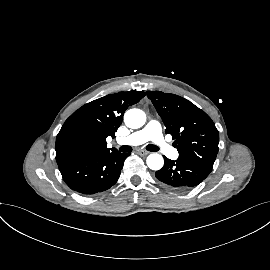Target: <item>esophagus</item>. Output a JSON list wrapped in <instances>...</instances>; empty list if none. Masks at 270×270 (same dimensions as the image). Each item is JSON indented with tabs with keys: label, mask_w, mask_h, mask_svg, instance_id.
<instances>
[{
	"label": "esophagus",
	"mask_w": 270,
	"mask_h": 270,
	"mask_svg": "<svg viewBox=\"0 0 270 270\" xmlns=\"http://www.w3.org/2000/svg\"><path fill=\"white\" fill-rule=\"evenodd\" d=\"M138 153H139L140 155H143V156H146V155H148V154H149V152H148V151L143 150V149L138 150Z\"/></svg>",
	"instance_id": "obj_1"
}]
</instances>
